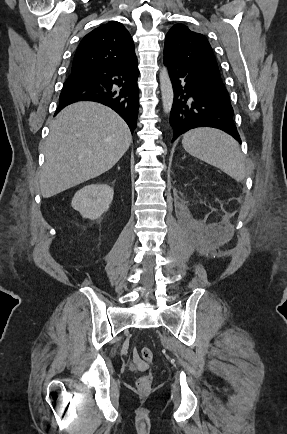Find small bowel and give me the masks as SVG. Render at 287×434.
Returning <instances> with one entry per match:
<instances>
[{"mask_svg": "<svg viewBox=\"0 0 287 434\" xmlns=\"http://www.w3.org/2000/svg\"><path fill=\"white\" fill-rule=\"evenodd\" d=\"M135 365L138 369L144 370L146 368V364L141 362L140 360L135 359Z\"/></svg>", "mask_w": 287, "mask_h": 434, "instance_id": "c3829d8e", "label": "small bowel"}]
</instances>
